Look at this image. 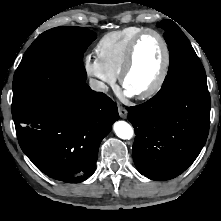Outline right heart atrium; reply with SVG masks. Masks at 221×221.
Returning a JSON list of instances; mask_svg holds the SVG:
<instances>
[{"instance_id": "d8ad5b80", "label": "right heart atrium", "mask_w": 221, "mask_h": 221, "mask_svg": "<svg viewBox=\"0 0 221 221\" xmlns=\"http://www.w3.org/2000/svg\"><path fill=\"white\" fill-rule=\"evenodd\" d=\"M84 69L90 77L94 78L96 87L102 92L113 86L116 81V76L102 64L98 57L91 54L84 58Z\"/></svg>"}]
</instances>
